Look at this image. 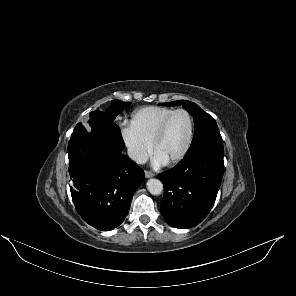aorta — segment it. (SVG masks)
I'll return each mask as SVG.
<instances>
[{"mask_svg": "<svg viewBox=\"0 0 296 296\" xmlns=\"http://www.w3.org/2000/svg\"><path fill=\"white\" fill-rule=\"evenodd\" d=\"M147 189L152 195H159L163 191V184L158 179H149L147 181Z\"/></svg>", "mask_w": 296, "mask_h": 296, "instance_id": "aorta-1", "label": "aorta"}]
</instances>
